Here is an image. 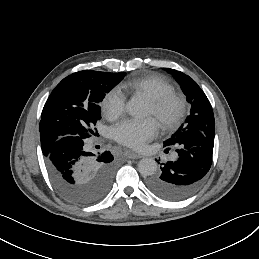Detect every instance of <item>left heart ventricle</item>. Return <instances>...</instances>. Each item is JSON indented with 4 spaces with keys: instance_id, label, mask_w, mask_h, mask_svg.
I'll return each instance as SVG.
<instances>
[{
    "instance_id": "left-heart-ventricle-1",
    "label": "left heart ventricle",
    "mask_w": 259,
    "mask_h": 259,
    "mask_svg": "<svg viewBox=\"0 0 259 259\" xmlns=\"http://www.w3.org/2000/svg\"><path fill=\"white\" fill-rule=\"evenodd\" d=\"M151 114H153V108H152V106H151V104H150L149 115H151Z\"/></svg>"
}]
</instances>
